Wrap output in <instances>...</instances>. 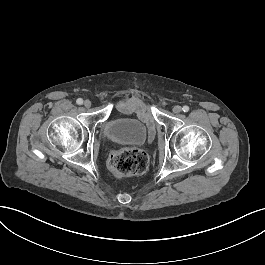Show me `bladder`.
Segmentation results:
<instances>
[{"mask_svg":"<svg viewBox=\"0 0 265 265\" xmlns=\"http://www.w3.org/2000/svg\"><path fill=\"white\" fill-rule=\"evenodd\" d=\"M105 134L109 140L116 143L141 144L147 138V129L137 119L118 117L106 123Z\"/></svg>","mask_w":265,"mask_h":265,"instance_id":"bladder-1","label":"bladder"}]
</instances>
